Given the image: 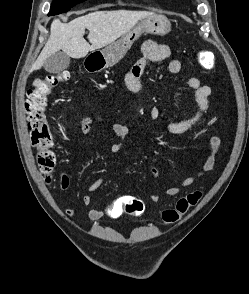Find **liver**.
Here are the masks:
<instances>
[{
	"label": "liver",
	"instance_id": "6515ba94",
	"mask_svg": "<svg viewBox=\"0 0 249 294\" xmlns=\"http://www.w3.org/2000/svg\"><path fill=\"white\" fill-rule=\"evenodd\" d=\"M147 11H94L77 17L69 23L55 19L51 24L50 36L32 70H39L45 60L62 50L69 57L79 59L88 52L107 47L129 32L137 22L151 15ZM89 30L88 40L84 39Z\"/></svg>",
	"mask_w": 249,
	"mask_h": 294
}]
</instances>
